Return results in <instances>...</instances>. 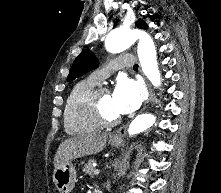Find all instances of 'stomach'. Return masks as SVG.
<instances>
[{"label": "stomach", "instance_id": "0dacf381", "mask_svg": "<svg viewBox=\"0 0 221 193\" xmlns=\"http://www.w3.org/2000/svg\"><path fill=\"white\" fill-rule=\"evenodd\" d=\"M112 146L118 147L122 144V140L110 139ZM77 172L75 166L71 162H66L55 167L53 173V181L60 193H70L75 186Z\"/></svg>", "mask_w": 221, "mask_h": 193}]
</instances>
